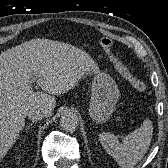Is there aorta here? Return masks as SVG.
Wrapping results in <instances>:
<instances>
[{
    "instance_id": "1",
    "label": "aorta",
    "mask_w": 168,
    "mask_h": 168,
    "mask_svg": "<svg viewBox=\"0 0 168 168\" xmlns=\"http://www.w3.org/2000/svg\"><path fill=\"white\" fill-rule=\"evenodd\" d=\"M78 117L74 113H66L63 115L60 119V126L63 130H66L68 132L74 131L78 126Z\"/></svg>"
}]
</instances>
